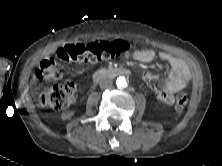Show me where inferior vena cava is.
Masks as SVG:
<instances>
[{
  "mask_svg": "<svg viewBox=\"0 0 222 166\" xmlns=\"http://www.w3.org/2000/svg\"><path fill=\"white\" fill-rule=\"evenodd\" d=\"M99 85L101 88H111L112 87V81L110 79L104 78L100 80Z\"/></svg>",
  "mask_w": 222,
  "mask_h": 166,
  "instance_id": "inferior-vena-cava-1",
  "label": "inferior vena cava"
}]
</instances>
